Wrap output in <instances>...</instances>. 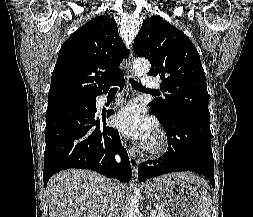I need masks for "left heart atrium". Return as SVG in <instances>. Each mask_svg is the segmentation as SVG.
<instances>
[{
  "label": "left heart atrium",
  "mask_w": 253,
  "mask_h": 217,
  "mask_svg": "<svg viewBox=\"0 0 253 217\" xmlns=\"http://www.w3.org/2000/svg\"><path fill=\"white\" fill-rule=\"evenodd\" d=\"M115 126L127 136L135 139H150L156 129L154 120L146 116L136 103L123 107L115 116Z\"/></svg>",
  "instance_id": "left-heart-atrium-1"
}]
</instances>
